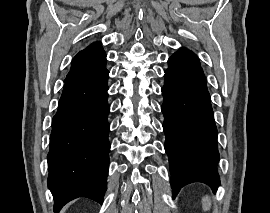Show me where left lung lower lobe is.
Wrapping results in <instances>:
<instances>
[{
	"mask_svg": "<svg viewBox=\"0 0 270 213\" xmlns=\"http://www.w3.org/2000/svg\"><path fill=\"white\" fill-rule=\"evenodd\" d=\"M164 78L161 110L173 192L193 182L216 191L220 184L217 128L202 68L168 67Z\"/></svg>",
	"mask_w": 270,
	"mask_h": 213,
	"instance_id": "obj_1",
	"label": "left lung lower lobe"
}]
</instances>
